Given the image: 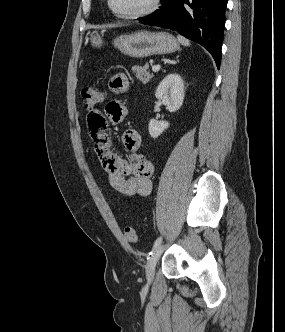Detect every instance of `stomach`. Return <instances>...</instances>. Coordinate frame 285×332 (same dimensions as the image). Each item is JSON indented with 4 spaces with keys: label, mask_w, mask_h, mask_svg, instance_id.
<instances>
[{
    "label": "stomach",
    "mask_w": 285,
    "mask_h": 332,
    "mask_svg": "<svg viewBox=\"0 0 285 332\" xmlns=\"http://www.w3.org/2000/svg\"><path fill=\"white\" fill-rule=\"evenodd\" d=\"M89 36L93 48L103 45V39L97 32H89ZM113 44L121 53L134 58L167 54L179 49L177 40L168 32L139 31L120 35L114 39Z\"/></svg>",
    "instance_id": "stomach-1"
}]
</instances>
